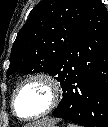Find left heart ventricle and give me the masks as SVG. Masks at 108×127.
I'll return each mask as SVG.
<instances>
[{
    "mask_svg": "<svg viewBox=\"0 0 108 127\" xmlns=\"http://www.w3.org/2000/svg\"><path fill=\"white\" fill-rule=\"evenodd\" d=\"M49 100L48 88L41 82H32L18 93L15 101L16 110L23 117L34 116L47 107Z\"/></svg>",
    "mask_w": 108,
    "mask_h": 127,
    "instance_id": "obj_1",
    "label": "left heart ventricle"
}]
</instances>
